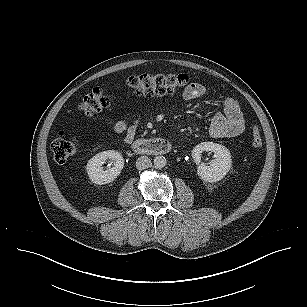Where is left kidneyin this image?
<instances>
[{
    "mask_svg": "<svg viewBox=\"0 0 307 307\" xmlns=\"http://www.w3.org/2000/svg\"><path fill=\"white\" fill-rule=\"evenodd\" d=\"M204 151H211L214 153L215 159L207 166L204 163H200L201 155ZM192 157L196 164H198L197 174L205 182H217L224 178L229 172L232 159L230 151L217 143L203 142L195 146L192 150Z\"/></svg>",
    "mask_w": 307,
    "mask_h": 307,
    "instance_id": "left-kidney-1",
    "label": "left kidney"
}]
</instances>
